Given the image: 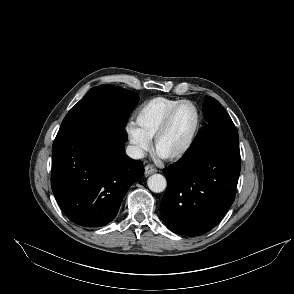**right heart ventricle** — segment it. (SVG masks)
I'll use <instances>...</instances> for the list:
<instances>
[{"label": "right heart ventricle", "mask_w": 294, "mask_h": 294, "mask_svg": "<svg viewBox=\"0 0 294 294\" xmlns=\"http://www.w3.org/2000/svg\"><path fill=\"white\" fill-rule=\"evenodd\" d=\"M181 100L156 97L145 102L136 113V126L149 140L153 139L168 111Z\"/></svg>", "instance_id": "right-heart-ventricle-1"}]
</instances>
